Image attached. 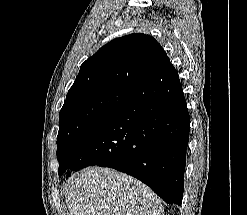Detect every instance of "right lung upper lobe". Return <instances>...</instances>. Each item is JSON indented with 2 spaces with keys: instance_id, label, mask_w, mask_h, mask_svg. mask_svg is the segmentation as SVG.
Returning a JSON list of instances; mask_svg holds the SVG:
<instances>
[{
  "instance_id": "1",
  "label": "right lung upper lobe",
  "mask_w": 247,
  "mask_h": 215,
  "mask_svg": "<svg viewBox=\"0 0 247 215\" xmlns=\"http://www.w3.org/2000/svg\"><path fill=\"white\" fill-rule=\"evenodd\" d=\"M167 59V54L152 36L131 34L116 38L81 65L68 93L92 88L133 90Z\"/></svg>"
}]
</instances>
